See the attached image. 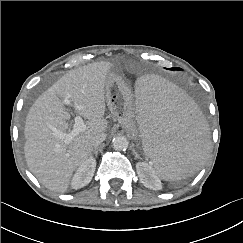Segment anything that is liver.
<instances>
[{
	"instance_id": "liver-1",
	"label": "liver",
	"mask_w": 243,
	"mask_h": 243,
	"mask_svg": "<svg viewBox=\"0 0 243 243\" xmlns=\"http://www.w3.org/2000/svg\"><path fill=\"white\" fill-rule=\"evenodd\" d=\"M112 67L109 62H96L72 70L30 108L24 130L25 158L29 170L46 188L66 192L74 171L91 156V138L107 130L106 83ZM65 98L87 119L86 130L69 143L53 134V129L67 133L70 113Z\"/></svg>"
}]
</instances>
